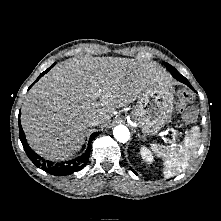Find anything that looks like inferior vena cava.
Instances as JSON below:
<instances>
[{"mask_svg":"<svg viewBox=\"0 0 221 221\" xmlns=\"http://www.w3.org/2000/svg\"><path fill=\"white\" fill-rule=\"evenodd\" d=\"M100 123H101L100 119L97 117H94L88 121L89 126H98V125H100Z\"/></svg>","mask_w":221,"mask_h":221,"instance_id":"602c4592","label":"inferior vena cava"}]
</instances>
